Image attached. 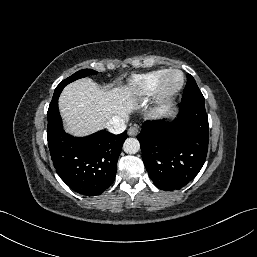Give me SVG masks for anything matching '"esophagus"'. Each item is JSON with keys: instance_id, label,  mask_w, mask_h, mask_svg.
<instances>
[{"instance_id": "34e87169", "label": "esophagus", "mask_w": 257, "mask_h": 257, "mask_svg": "<svg viewBox=\"0 0 257 257\" xmlns=\"http://www.w3.org/2000/svg\"><path fill=\"white\" fill-rule=\"evenodd\" d=\"M138 134V127L137 126H131L128 129V135L129 136H136Z\"/></svg>"}]
</instances>
